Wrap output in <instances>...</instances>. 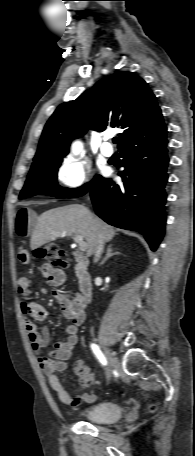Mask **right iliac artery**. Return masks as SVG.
I'll return each instance as SVG.
<instances>
[{
	"label": "right iliac artery",
	"instance_id": "right-iliac-artery-1",
	"mask_svg": "<svg viewBox=\"0 0 195 456\" xmlns=\"http://www.w3.org/2000/svg\"><path fill=\"white\" fill-rule=\"evenodd\" d=\"M91 349L103 365H107V360L103 353L101 352L100 348L96 344H91Z\"/></svg>",
	"mask_w": 195,
	"mask_h": 456
}]
</instances>
